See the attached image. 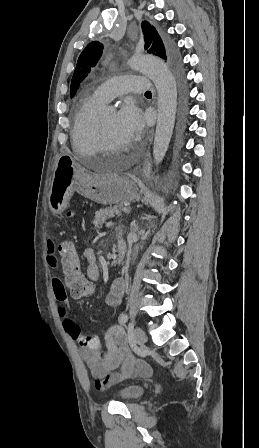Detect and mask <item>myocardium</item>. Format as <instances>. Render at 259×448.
Returning <instances> with one entry per match:
<instances>
[{"label":"myocardium","instance_id":"f54148a6","mask_svg":"<svg viewBox=\"0 0 259 448\" xmlns=\"http://www.w3.org/2000/svg\"><path fill=\"white\" fill-rule=\"evenodd\" d=\"M97 128L100 150L96 154H105L117 151L118 148L111 143L104 122L100 116L97 118ZM75 154L79 157V163H87L85 157L81 156L77 152H75Z\"/></svg>","mask_w":259,"mask_h":448}]
</instances>
